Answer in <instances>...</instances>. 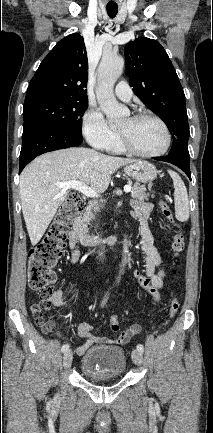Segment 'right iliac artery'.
Here are the masks:
<instances>
[{"label":"right iliac artery","mask_w":213,"mask_h":433,"mask_svg":"<svg viewBox=\"0 0 213 433\" xmlns=\"http://www.w3.org/2000/svg\"><path fill=\"white\" fill-rule=\"evenodd\" d=\"M106 301H107V296H105V298L103 299L101 305H104V304L106 303ZM68 349H69V344H64V345L62 346V348H61V351L64 353V352H66Z\"/></svg>","instance_id":"right-iliac-artery-1"}]
</instances>
